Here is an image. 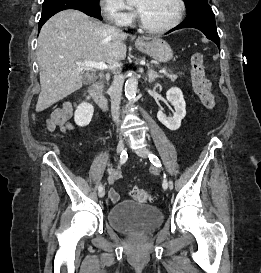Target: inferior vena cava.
<instances>
[{
	"label": "inferior vena cava",
	"mask_w": 261,
	"mask_h": 273,
	"mask_svg": "<svg viewBox=\"0 0 261 273\" xmlns=\"http://www.w3.org/2000/svg\"><path fill=\"white\" fill-rule=\"evenodd\" d=\"M121 64L118 63L114 67V77L112 84L109 88V95L111 98V113L112 118L116 124H119V109L121 103L122 87H123V78L119 72Z\"/></svg>",
	"instance_id": "1"
}]
</instances>
